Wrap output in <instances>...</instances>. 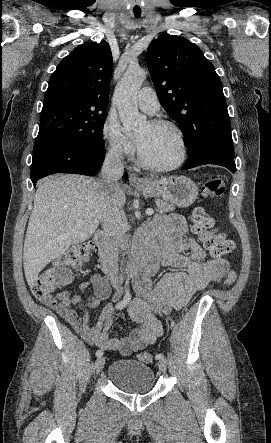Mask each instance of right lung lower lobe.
<instances>
[{"instance_id": "1", "label": "right lung lower lobe", "mask_w": 271, "mask_h": 443, "mask_svg": "<svg viewBox=\"0 0 271 443\" xmlns=\"http://www.w3.org/2000/svg\"><path fill=\"white\" fill-rule=\"evenodd\" d=\"M104 157V145L48 143L33 153L31 180L35 186L37 180L54 173L94 175L100 169Z\"/></svg>"}]
</instances>
